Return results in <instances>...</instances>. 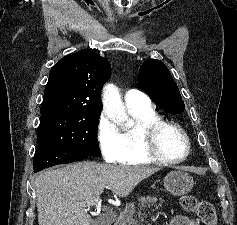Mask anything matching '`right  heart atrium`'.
<instances>
[{
  "label": "right heart atrium",
  "mask_w": 237,
  "mask_h": 225,
  "mask_svg": "<svg viewBox=\"0 0 237 225\" xmlns=\"http://www.w3.org/2000/svg\"><path fill=\"white\" fill-rule=\"evenodd\" d=\"M96 138L105 161L118 163L122 160L126 151L123 132L106 113L99 116Z\"/></svg>",
  "instance_id": "1"
}]
</instances>
